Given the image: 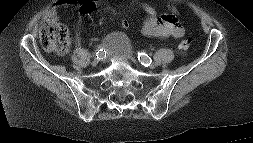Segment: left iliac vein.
I'll use <instances>...</instances> for the list:
<instances>
[{"mask_svg": "<svg viewBox=\"0 0 253 143\" xmlns=\"http://www.w3.org/2000/svg\"><path fill=\"white\" fill-rule=\"evenodd\" d=\"M149 66H150L151 69H153V68L155 67L154 64H151V65H149Z\"/></svg>", "mask_w": 253, "mask_h": 143, "instance_id": "1", "label": "left iliac vein"}]
</instances>
